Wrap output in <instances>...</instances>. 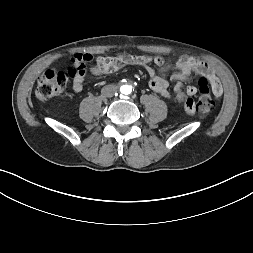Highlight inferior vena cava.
I'll list each match as a JSON object with an SVG mask.
<instances>
[{
    "mask_svg": "<svg viewBox=\"0 0 253 253\" xmlns=\"http://www.w3.org/2000/svg\"><path fill=\"white\" fill-rule=\"evenodd\" d=\"M117 92V87L113 84L106 85L102 88L101 93L105 97H112Z\"/></svg>",
    "mask_w": 253,
    "mask_h": 253,
    "instance_id": "obj_1",
    "label": "inferior vena cava"
}]
</instances>
